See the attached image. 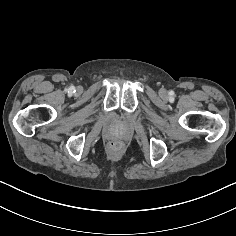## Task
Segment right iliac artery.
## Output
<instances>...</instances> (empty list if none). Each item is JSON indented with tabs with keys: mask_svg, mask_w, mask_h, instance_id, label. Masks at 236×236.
<instances>
[{
	"mask_svg": "<svg viewBox=\"0 0 236 236\" xmlns=\"http://www.w3.org/2000/svg\"><path fill=\"white\" fill-rule=\"evenodd\" d=\"M74 91H75V87L72 86V87L69 88V92L72 93V92H74Z\"/></svg>",
	"mask_w": 236,
	"mask_h": 236,
	"instance_id": "82829eb1",
	"label": "right iliac artery"
}]
</instances>
